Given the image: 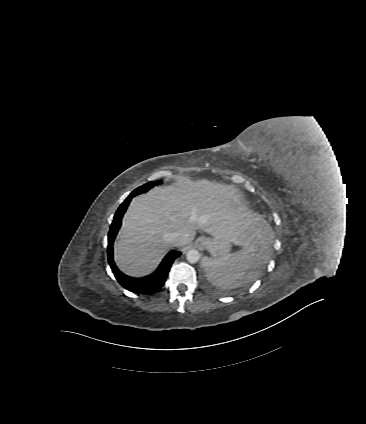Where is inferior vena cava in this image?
Instances as JSON below:
<instances>
[{
  "label": "inferior vena cava",
  "mask_w": 366,
  "mask_h": 424,
  "mask_svg": "<svg viewBox=\"0 0 366 424\" xmlns=\"http://www.w3.org/2000/svg\"><path fill=\"white\" fill-rule=\"evenodd\" d=\"M170 243L173 246H179L185 244L189 240V235L184 230H179L175 233H172L169 237Z\"/></svg>",
  "instance_id": "1"
}]
</instances>
